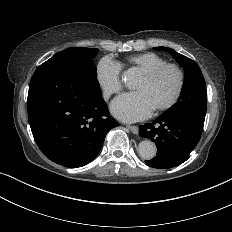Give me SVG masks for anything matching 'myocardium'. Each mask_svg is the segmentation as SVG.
<instances>
[{
    "mask_svg": "<svg viewBox=\"0 0 232 232\" xmlns=\"http://www.w3.org/2000/svg\"><path fill=\"white\" fill-rule=\"evenodd\" d=\"M167 68H173L177 72L179 76V84H178L177 90L174 93L173 97L165 105H163L162 107L156 110V113L158 114L168 111L177 103L184 89V84H185L184 72L179 65L175 63L167 62V63L156 66L155 68L151 69L150 71L142 75V78L145 81L149 82V81H152L154 78H156L158 74H160L163 70Z\"/></svg>",
    "mask_w": 232,
    "mask_h": 232,
    "instance_id": "f54148a6",
    "label": "myocardium"
}]
</instances>
